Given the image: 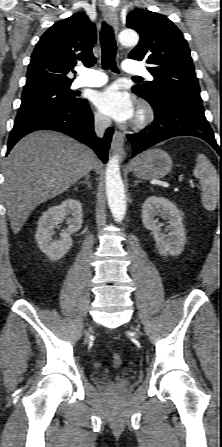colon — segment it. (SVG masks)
<instances>
[{"mask_svg":"<svg viewBox=\"0 0 222 447\" xmlns=\"http://www.w3.org/2000/svg\"><path fill=\"white\" fill-rule=\"evenodd\" d=\"M121 363H122L121 356L119 354H117V353H114L112 355V364H113V366L115 368H118V367H120Z\"/></svg>","mask_w":222,"mask_h":447,"instance_id":"colon-1","label":"colon"}]
</instances>
